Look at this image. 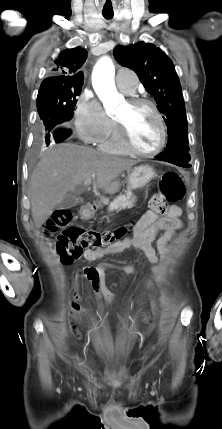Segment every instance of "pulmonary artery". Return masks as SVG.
I'll return each mask as SVG.
<instances>
[{"mask_svg": "<svg viewBox=\"0 0 222 429\" xmlns=\"http://www.w3.org/2000/svg\"><path fill=\"white\" fill-rule=\"evenodd\" d=\"M116 84L122 92L132 94L136 91L138 78L133 71L120 69L116 75Z\"/></svg>", "mask_w": 222, "mask_h": 429, "instance_id": "e3ab8cb5", "label": "pulmonary artery"}]
</instances>
